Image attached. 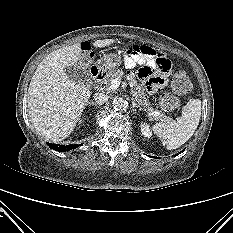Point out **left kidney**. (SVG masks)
I'll list each match as a JSON object with an SVG mask.
<instances>
[{
  "label": "left kidney",
  "instance_id": "1",
  "mask_svg": "<svg viewBox=\"0 0 233 233\" xmlns=\"http://www.w3.org/2000/svg\"><path fill=\"white\" fill-rule=\"evenodd\" d=\"M140 127H141V133H142V135H143L144 137L151 138L152 132H151V130H150L149 125H148L147 123H142V124L140 125Z\"/></svg>",
  "mask_w": 233,
  "mask_h": 233
}]
</instances>
